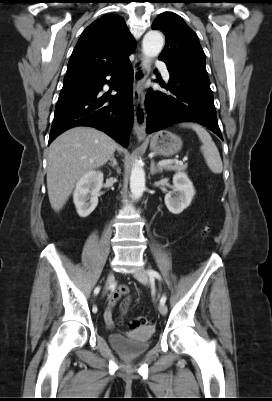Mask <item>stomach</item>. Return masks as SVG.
Masks as SVG:
<instances>
[{"instance_id": "stomach-1", "label": "stomach", "mask_w": 272, "mask_h": 401, "mask_svg": "<svg viewBox=\"0 0 272 401\" xmlns=\"http://www.w3.org/2000/svg\"><path fill=\"white\" fill-rule=\"evenodd\" d=\"M182 144V139L168 130L158 131L150 139V149L167 157L179 152Z\"/></svg>"}]
</instances>
